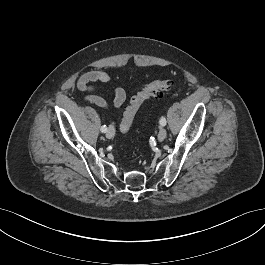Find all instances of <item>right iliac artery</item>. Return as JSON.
<instances>
[{
  "label": "right iliac artery",
  "mask_w": 265,
  "mask_h": 265,
  "mask_svg": "<svg viewBox=\"0 0 265 265\" xmlns=\"http://www.w3.org/2000/svg\"><path fill=\"white\" fill-rule=\"evenodd\" d=\"M106 131H107V127H106V125H103V126L101 127V132L105 133Z\"/></svg>",
  "instance_id": "obj_1"
}]
</instances>
